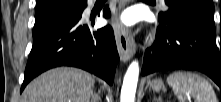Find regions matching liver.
Listing matches in <instances>:
<instances>
[{"instance_id": "1", "label": "liver", "mask_w": 221, "mask_h": 102, "mask_svg": "<svg viewBox=\"0 0 221 102\" xmlns=\"http://www.w3.org/2000/svg\"><path fill=\"white\" fill-rule=\"evenodd\" d=\"M94 78L77 68L59 67L30 82L22 102H90Z\"/></svg>"}]
</instances>
